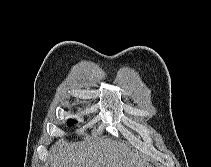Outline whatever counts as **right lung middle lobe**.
Instances as JSON below:
<instances>
[{"label":"right lung middle lobe","instance_id":"right-lung-middle-lobe-1","mask_svg":"<svg viewBox=\"0 0 211 167\" xmlns=\"http://www.w3.org/2000/svg\"><path fill=\"white\" fill-rule=\"evenodd\" d=\"M75 123V121L74 120H69V122H68V126H71V125H73Z\"/></svg>","mask_w":211,"mask_h":167}]
</instances>
